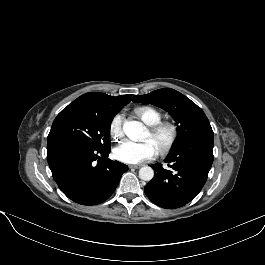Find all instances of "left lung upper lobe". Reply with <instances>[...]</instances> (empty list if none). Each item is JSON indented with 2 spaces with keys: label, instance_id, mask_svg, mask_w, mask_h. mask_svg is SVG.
<instances>
[{
  "label": "left lung upper lobe",
  "instance_id": "left-lung-upper-lobe-1",
  "mask_svg": "<svg viewBox=\"0 0 265 265\" xmlns=\"http://www.w3.org/2000/svg\"><path fill=\"white\" fill-rule=\"evenodd\" d=\"M133 101L157 106L167 111L176 120L179 125L177 128L178 139L173 149L178 148L194 135L212 130L203 110L174 89L155 90L149 94L135 96Z\"/></svg>",
  "mask_w": 265,
  "mask_h": 265
}]
</instances>
